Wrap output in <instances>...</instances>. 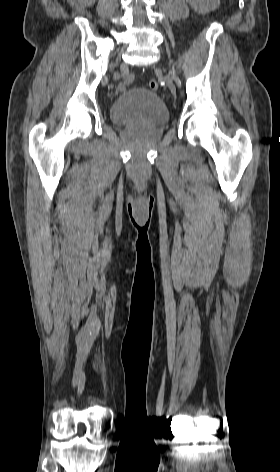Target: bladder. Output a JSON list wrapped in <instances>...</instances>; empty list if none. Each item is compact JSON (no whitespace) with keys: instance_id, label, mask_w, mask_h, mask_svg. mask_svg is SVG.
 I'll return each instance as SVG.
<instances>
[{"instance_id":"obj_1","label":"bladder","mask_w":280,"mask_h":472,"mask_svg":"<svg viewBox=\"0 0 280 472\" xmlns=\"http://www.w3.org/2000/svg\"><path fill=\"white\" fill-rule=\"evenodd\" d=\"M110 118L119 126L162 127L167 124L169 113L158 95L144 88H132L114 100Z\"/></svg>"}]
</instances>
